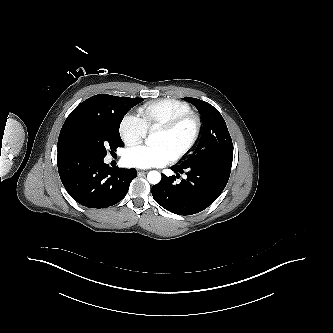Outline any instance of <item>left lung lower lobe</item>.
<instances>
[{"label":"left lung lower lobe","mask_w":333,"mask_h":333,"mask_svg":"<svg viewBox=\"0 0 333 333\" xmlns=\"http://www.w3.org/2000/svg\"><path fill=\"white\" fill-rule=\"evenodd\" d=\"M232 161L209 159L188 165L171 167L176 176L162 174L161 181L152 187L154 200L166 210L178 215H192L210 206L224 190ZM180 173L186 179L176 182Z\"/></svg>","instance_id":"obj_1"}]
</instances>
